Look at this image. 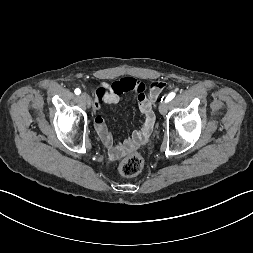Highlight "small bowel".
Here are the masks:
<instances>
[{
    "label": "small bowel",
    "instance_id": "c3829d8e",
    "mask_svg": "<svg viewBox=\"0 0 253 253\" xmlns=\"http://www.w3.org/2000/svg\"><path fill=\"white\" fill-rule=\"evenodd\" d=\"M165 86L166 84L162 81L154 82L150 86L149 95H146L145 87L142 83L134 78L125 77L116 81L113 85L103 83L96 90L94 102V109L96 111L100 109L101 102L118 104L122 100V93L134 91L138 108L143 116L141 126L137 128L130 137L119 143H115L103 117L101 115L95 116V129L103 144L108 148L109 156L112 160L120 159L124 155L146 143L152 133L155 122L152 103Z\"/></svg>",
    "mask_w": 253,
    "mask_h": 253
}]
</instances>
